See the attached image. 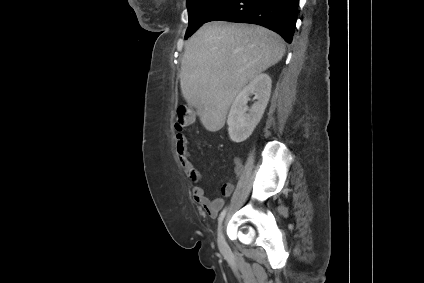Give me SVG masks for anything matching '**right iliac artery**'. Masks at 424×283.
I'll use <instances>...</instances> for the list:
<instances>
[{
  "label": "right iliac artery",
  "instance_id": "82829eb1",
  "mask_svg": "<svg viewBox=\"0 0 424 283\" xmlns=\"http://www.w3.org/2000/svg\"><path fill=\"white\" fill-rule=\"evenodd\" d=\"M226 211H227V208H224L223 211L220 213L219 218H218L219 224L222 223V221H223V219L225 217Z\"/></svg>",
  "mask_w": 424,
  "mask_h": 283
}]
</instances>
